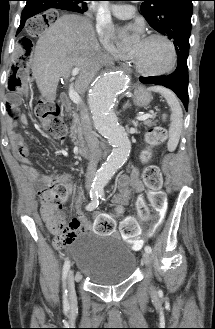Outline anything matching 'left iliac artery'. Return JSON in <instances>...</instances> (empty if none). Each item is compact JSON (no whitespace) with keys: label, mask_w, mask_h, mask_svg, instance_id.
<instances>
[{"label":"left iliac artery","mask_w":215,"mask_h":329,"mask_svg":"<svg viewBox=\"0 0 215 329\" xmlns=\"http://www.w3.org/2000/svg\"><path fill=\"white\" fill-rule=\"evenodd\" d=\"M98 194H99V197H100L102 200H105V194H104V190H103V188H100V189L98 190ZM145 251L148 252V253H151V252H152V249H151V247H150L149 245H147V246L145 247Z\"/></svg>","instance_id":"obj_1"}]
</instances>
